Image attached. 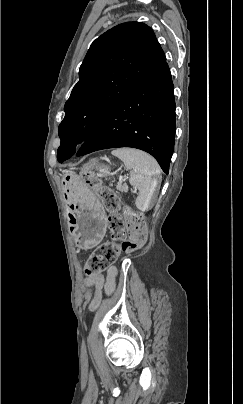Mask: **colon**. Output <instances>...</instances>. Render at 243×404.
Returning <instances> with one entry per match:
<instances>
[{
  "label": "colon",
  "mask_w": 243,
  "mask_h": 404,
  "mask_svg": "<svg viewBox=\"0 0 243 404\" xmlns=\"http://www.w3.org/2000/svg\"><path fill=\"white\" fill-rule=\"evenodd\" d=\"M82 177L108 212V227L112 238L111 241L100 245L86 263V274L94 276L113 263L120 252L140 249L146 241L147 229L144 219L137 214L126 210L124 217L122 216L118 194L102 184L95 173V163L83 169Z\"/></svg>",
  "instance_id": "colon-1"
}]
</instances>
